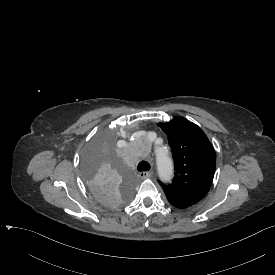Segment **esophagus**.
I'll list each match as a JSON object with an SVG mask.
<instances>
[{"label":"esophagus","instance_id":"34e87169","mask_svg":"<svg viewBox=\"0 0 275 275\" xmlns=\"http://www.w3.org/2000/svg\"><path fill=\"white\" fill-rule=\"evenodd\" d=\"M138 176L142 179H148L151 177V173L148 171H143L138 174Z\"/></svg>","mask_w":275,"mask_h":275}]
</instances>
